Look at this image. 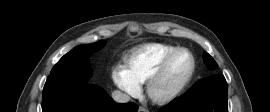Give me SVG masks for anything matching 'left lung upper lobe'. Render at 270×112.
Returning <instances> with one entry per match:
<instances>
[{
  "mask_svg": "<svg viewBox=\"0 0 270 112\" xmlns=\"http://www.w3.org/2000/svg\"><path fill=\"white\" fill-rule=\"evenodd\" d=\"M203 58L210 70H214L218 67L217 63L208 53H204Z\"/></svg>",
  "mask_w": 270,
  "mask_h": 112,
  "instance_id": "5c2ea615",
  "label": "left lung upper lobe"
}]
</instances>
